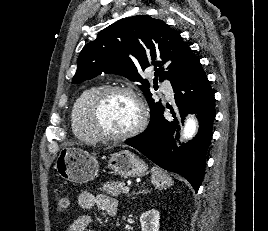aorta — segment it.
<instances>
[{
	"instance_id": "762f6f07",
	"label": "aorta",
	"mask_w": 268,
	"mask_h": 231,
	"mask_svg": "<svg viewBox=\"0 0 268 231\" xmlns=\"http://www.w3.org/2000/svg\"><path fill=\"white\" fill-rule=\"evenodd\" d=\"M196 131H197V121L194 117L189 116L183 128L182 136L185 139H190L195 135Z\"/></svg>"
}]
</instances>
